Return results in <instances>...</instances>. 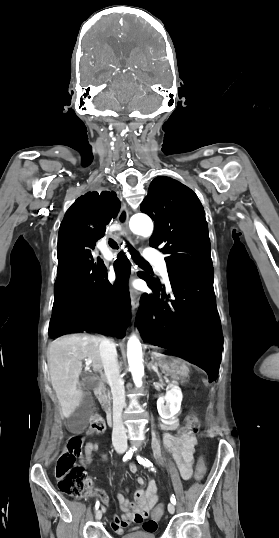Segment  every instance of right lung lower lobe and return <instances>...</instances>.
Masks as SVG:
<instances>
[{
  "instance_id": "98d812e1",
  "label": "right lung lower lobe",
  "mask_w": 279,
  "mask_h": 538,
  "mask_svg": "<svg viewBox=\"0 0 279 538\" xmlns=\"http://www.w3.org/2000/svg\"><path fill=\"white\" fill-rule=\"evenodd\" d=\"M119 210L114 192H88L65 214L58 234L51 338L88 330L124 335L130 322V263L123 252L118 255L114 264L117 279L111 285L103 262H94L91 254Z\"/></svg>"
}]
</instances>
